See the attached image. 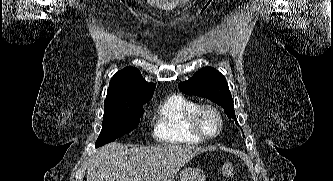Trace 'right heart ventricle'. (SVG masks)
Segmentation results:
<instances>
[{"mask_svg":"<svg viewBox=\"0 0 333 181\" xmlns=\"http://www.w3.org/2000/svg\"><path fill=\"white\" fill-rule=\"evenodd\" d=\"M198 104L182 95L165 98L154 111V136L171 144H198L204 141L191 127V116Z\"/></svg>","mask_w":333,"mask_h":181,"instance_id":"right-heart-ventricle-1","label":"right heart ventricle"}]
</instances>
